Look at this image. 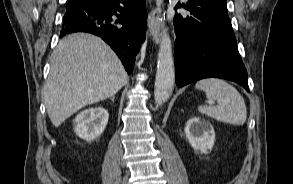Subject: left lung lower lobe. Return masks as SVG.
Instances as JSON below:
<instances>
[{"label": "left lung lower lobe", "mask_w": 293, "mask_h": 184, "mask_svg": "<svg viewBox=\"0 0 293 184\" xmlns=\"http://www.w3.org/2000/svg\"><path fill=\"white\" fill-rule=\"evenodd\" d=\"M178 3L175 7L180 8ZM189 15L176 14L174 60L182 87L208 77L234 81L247 91L248 77L222 0H188Z\"/></svg>", "instance_id": "1"}]
</instances>
